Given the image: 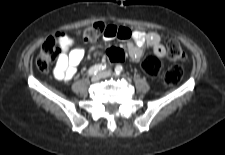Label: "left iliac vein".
Returning a JSON list of instances; mask_svg holds the SVG:
<instances>
[{
  "label": "left iliac vein",
  "mask_w": 225,
  "mask_h": 155,
  "mask_svg": "<svg viewBox=\"0 0 225 155\" xmlns=\"http://www.w3.org/2000/svg\"><path fill=\"white\" fill-rule=\"evenodd\" d=\"M100 74H101L102 78H107L112 75L111 72H109V71H104V72H101Z\"/></svg>",
  "instance_id": "left-iliac-vein-1"
}]
</instances>
